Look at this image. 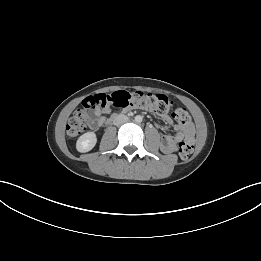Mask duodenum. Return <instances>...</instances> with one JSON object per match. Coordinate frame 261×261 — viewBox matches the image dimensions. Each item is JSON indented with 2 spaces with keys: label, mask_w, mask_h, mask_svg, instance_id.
<instances>
[{
  "label": "duodenum",
  "mask_w": 261,
  "mask_h": 261,
  "mask_svg": "<svg viewBox=\"0 0 261 261\" xmlns=\"http://www.w3.org/2000/svg\"><path fill=\"white\" fill-rule=\"evenodd\" d=\"M118 116H119L118 114H113V115L111 116V118L106 121V125L111 124V122L114 121L115 119H117Z\"/></svg>",
  "instance_id": "obj_1"
}]
</instances>
